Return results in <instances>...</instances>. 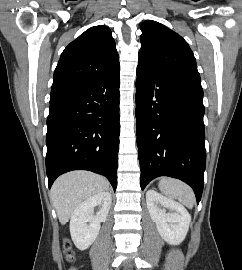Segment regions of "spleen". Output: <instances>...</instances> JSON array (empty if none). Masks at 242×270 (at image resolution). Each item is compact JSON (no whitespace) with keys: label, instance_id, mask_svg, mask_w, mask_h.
Here are the masks:
<instances>
[{"label":"spleen","instance_id":"obj_1","mask_svg":"<svg viewBox=\"0 0 242 270\" xmlns=\"http://www.w3.org/2000/svg\"><path fill=\"white\" fill-rule=\"evenodd\" d=\"M159 189L167 197L178 200L188 208L194 206L195 195L193 190L180 180L162 178L159 182Z\"/></svg>","mask_w":242,"mask_h":270}]
</instances>
